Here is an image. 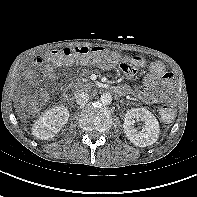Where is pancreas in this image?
Segmentation results:
<instances>
[{
  "label": "pancreas",
  "instance_id": "pancreas-1",
  "mask_svg": "<svg viewBox=\"0 0 197 197\" xmlns=\"http://www.w3.org/2000/svg\"><path fill=\"white\" fill-rule=\"evenodd\" d=\"M83 82H85L86 83V86H91V84L90 83H88V80L87 79H83Z\"/></svg>",
  "mask_w": 197,
  "mask_h": 197
}]
</instances>
